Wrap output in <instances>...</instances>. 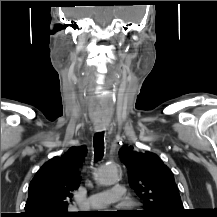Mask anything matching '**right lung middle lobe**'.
<instances>
[{
	"label": "right lung middle lobe",
	"instance_id": "1",
	"mask_svg": "<svg viewBox=\"0 0 217 217\" xmlns=\"http://www.w3.org/2000/svg\"><path fill=\"white\" fill-rule=\"evenodd\" d=\"M57 217H75V214H71V215H60V216H57Z\"/></svg>",
	"mask_w": 217,
	"mask_h": 217
}]
</instances>
